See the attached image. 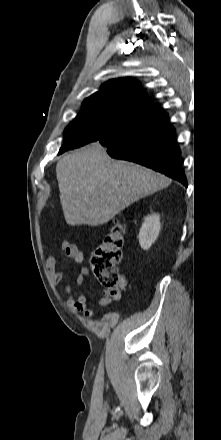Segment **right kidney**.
Here are the masks:
<instances>
[{
	"mask_svg": "<svg viewBox=\"0 0 221 440\" xmlns=\"http://www.w3.org/2000/svg\"><path fill=\"white\" fill-rule=\"evenodd\" d=\"M161 229L160 216L149 215L145 218L139 232V244L142 249L148 250L157 239Z\"/></svg>",
	"mask_w": 221,
	"mask_h": 440,
	"instance_id": "1",
	"label": "right kidney"
}]
</instances>
